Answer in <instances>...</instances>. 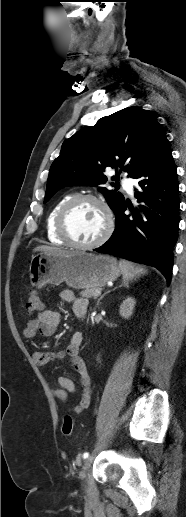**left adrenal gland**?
Returning <instances> with one entry per match:
<instances>
[{"instance_id":"obj_1","label":"left adrenal gland","mask_w":186,"mask_h":517,"mask_svg":"<svg viewBox=\"0 0 186 517\" xmlns=\"http://www.w3.org/2000/svg\"><path fill=\"white\" fill-rule=\"evenodd\" d=\"M124 285H126V284H124ZM122 286H123V285H120L119 287H122ZM117 288H118V287H115L113 290H115V289H117ZM110 292H111V291H107V292H105V293H104V294H103V295L98 299L96 306H98V305H99V303H100V301L104 298V296H105L106 294L110 293Z\"/></svg>"}]
</instances>
